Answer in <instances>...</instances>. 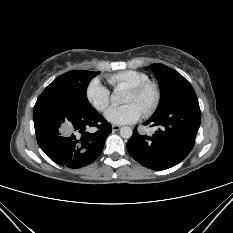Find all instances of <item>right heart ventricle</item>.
<instances>
[{
	"instance_id": "obj_1",
	"label": "right heart ventricle",
	"mask_w": 233,
	"mask_h": 233,
	"mask_svg": "<svg viewBox=\"0 0 233 233\" xmlns=\"http://www.w3.org/2000/svg\"><path fill=\"white\" fill-rule=\"evenodd\" d=\"M107 80L115 88L121 86L129 88L149 80V76L142 71L124 70L108 76Z\"/></svg>"
}]
</instances>
